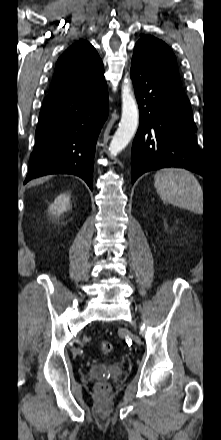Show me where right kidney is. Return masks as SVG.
<instances>
[{
    "label": "right kidney",
    "instance_id": "obj_1",
    "mask_svg": "<svg viewBox=\"0 0 221 440\" xmlns=\"http://www.w3.org/2000/svg\"><path fill=\"white\" fill-rule=\"evenodd\" d=\"M69 206H70V197L66 194H61L55 199L54 203L50 205L49 212L52 215L59 216L64 211H66Z\"/></svg>",
    "mask_w": 221,
    "mask_h": 440
}]
</instances>
